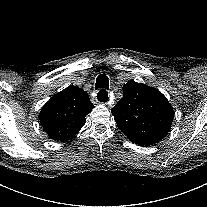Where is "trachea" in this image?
<instances>
[{"mask_svg":"<svg viewBox=\"0 0 207 207\" xmlns=\"http://www.w3.org/2000/svg\"><path fill=\"white\" fill-rule=\"evenodd\" d=\"M100 87L104 89L100 90L98 100L101 102H106L108 100V93L105 89L109 88V81L108 77L105 74H100L97 77L95 88L98 89Z\"/></svg>","mask_w":207,"mask_h":207,"instance_id":"obj_1","label":"trachea"}]
</instances>
